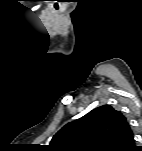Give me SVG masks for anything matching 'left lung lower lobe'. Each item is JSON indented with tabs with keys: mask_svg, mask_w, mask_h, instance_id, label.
I'll return each instance as SVG.
<instances>
[{
	"mask_svg": "<svg viewBox=\"0 0 142 151\" xmlns=\"http://www.w3.org/2000/svg\"><path fill=\"white\" fill-rule=\"evenodd\" d=\"M142 150V148H138L135 146V141L133 139V141L131 142L130 146L126 149V151H140Z\"/></svg>",
	"mask_w": 142,
	"mask_h": 151,
	"instance_id": "left-lung-lower-lobe-1",
	"label": "left lung lower lobe"
}]
</instances>
